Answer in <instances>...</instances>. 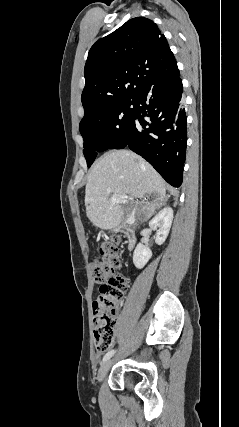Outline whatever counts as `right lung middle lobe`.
<instances>
[{
  "label": "right lung middle lobe",
  "instance_id": "right-lung-middle-lobe-1",
  "mask_svg": "<svg viewBox=\"0 0 239 427\" xmlns=\"http://www.w3.org/2000/svg\"><path fill=\"white\" fill-rule=\"evenodd\" d=\"M135 103L136 99L110 100L85 113L79 130L84 139L83 153L88 167L98 152L118 149L128 140Z\"/></svg>",
  "mask_w": 239,
  "mask_h": 427
}]
</instances>
